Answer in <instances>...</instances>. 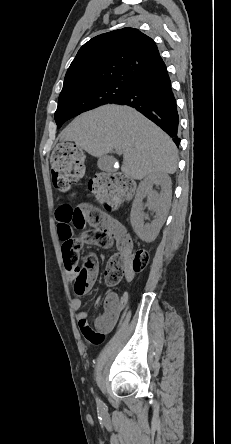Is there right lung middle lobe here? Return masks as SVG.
I'll list each match as a JSON object with an SVG mask.
<instances>
[{"label":"right lung middle lobe","mask_w":231,"mask_h":444,"mask_svg":"<svg viewBox=\"0 0 231 444\" xmlns=\"http://www.w3.org/2000/svg\"><path fill=\"white\" fill-rule=\"evenodd\" d=\"M131 87L121 83H108L61 92L58 108L55 112L57 128H60L64 122L82 112L103 104L115 103L125 97L131 90Z\"/></svg>","instance_id":"dd1d6c3e"}]
</instances>
